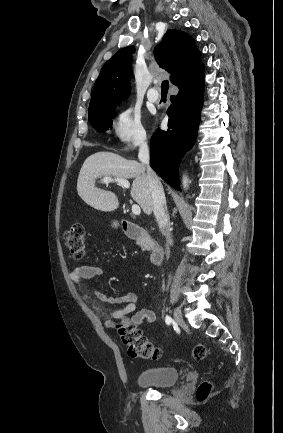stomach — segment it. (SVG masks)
Returning <instances> with one entry per match:
<instances>
[{
  "label": "stomach",
  "mask_w": 283,
  "mask_h": 433,
  "mask_svg": "<svg viewBox=\"0 0 283 433\" xmlns=\"http://www.w3.org/2000/svg\"><path fill=\"white\" fill-rule=\"evenodd\" d=\"M119 223H114V227H118Z\"/></svg>",
  "instance_id": "stomach-1"
}]
</instances>
